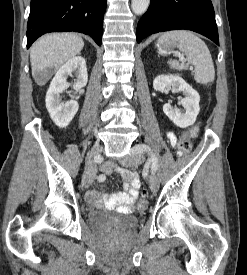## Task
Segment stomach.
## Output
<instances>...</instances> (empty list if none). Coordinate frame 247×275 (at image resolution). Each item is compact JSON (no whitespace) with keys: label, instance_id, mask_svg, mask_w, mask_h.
<instances>
[{"label":"stomach","instance_id":"obj_1","mask_svg":"<svg viewBox=\"0 0 247 275\" xmlns=\"http://www.w3.org/2000/svg\"><path fill=\"white\" fill-rule=\"evenodd\" d=\"M174 45L175 42L173 40H168L162 45H160L159 43L157 44L159 51L162 53H167L168 51H170V49L174 47Z\"/></svg>","mask_w":247,"mask_h":275}]
</instances>
